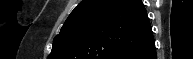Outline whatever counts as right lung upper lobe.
<instances>
[{
  "label": "right lung upper lobe",
  "instance_id": "obj_1",
  "mask_svg": "<svg viewBox=\"0 0 193 59\" xmlns=\"http://www.w3.org/2000/svg\"><path fill=\"white\" fill-rule=\"evenodd\" d=\"M152 36L141 0H83L54 38L48 59H123Z\"/></svg>",
  "mask_w": 193,
  "mask_h": 59
}]
</instances>
